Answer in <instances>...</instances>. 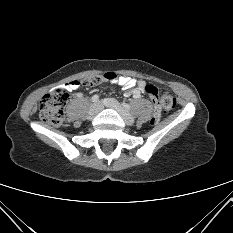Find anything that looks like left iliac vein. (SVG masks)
<instances>
[{
	"mask_svg": "<svg viewBox=\"0 0 233 233\" xmlns=\"http://www.w3.org/2000/svg\"><path fill=\"white\" fill-rule=\"evenodd\" d=\"M103 103L106 107L116 110L127 125L134 124V117L125 110L118 101L112 98H107L103 100Z\"/></svg>",
	"mask_w": 233,
	"mask_h": 233,
	"instance_id": "1",
	"label": "left iliac vein"
}]
</instances>
